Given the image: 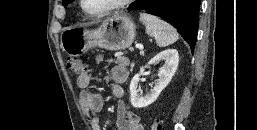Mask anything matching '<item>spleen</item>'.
<instances>
[{
	"mask_svg": "<svg viewBox=\"0 0 257 130\" xmlns=\"http://www.w3.org/2000/svg\"><path fill=\"white\" fill-rule=\"evenodd\" d=\"M140 21L146 27V33L153 37L159 47H166L179 38L177 31L167 22L148 13L140 14Z\"/></svg>",
	"mask_w": 257,
	"mask_h": 130,
	"instance_id": "3e777b00",
	"label": "spleen"
}]
</instances>
